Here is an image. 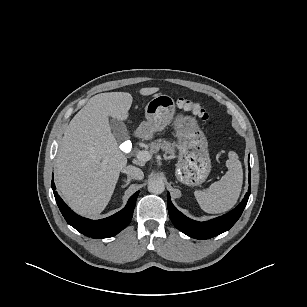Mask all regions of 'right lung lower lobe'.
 <instances>
[{"instance_id": "right-lung-lower-lobe-1", "label": "right lung lower lobe", "mask_w": 307, "mask_h": 307, "mask_svg": "<svg viewBox=\"0 0 307 307\" xmlns=\"http://www.w3.org/2000/svg\"><path fill=\"white\" fill-rule=\"evenodd\" d=\"M57 205L66 222L77 231L91 238H109L122 229L131 221L139 191L134 193L128 200L127 205L118 213L101 220H90L75 214L60 198L55 191L54 182L51 183Z\"/></svg>"}]
</instances>
